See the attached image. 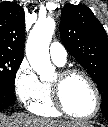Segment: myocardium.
Returning <instances> with one entry per match:
<instances>
[{"label": "myocardium", "mask_w": 108, "mask_h": 127, "mask_svg": "<svg viewBox=\"0 0 108 127\" xmlns=\"http://www.w3.org/2000/svg\"><path fill=\"white\" fill-rule=\"evenodd\" d=\"M72 75H80L89 83L91 86L94 95H95V107L91 114L87 116H78L71 113L65 106L63 100V86L66 80ZM52 98L55 108L61 113L70 118L77 120H90L96 116L101 106V95L98 89L97 84L93 78L84 70L79 68H65L58 72L57 78L55 81L51 82Z\"/></svg>", "instance_id": "1"}]
</instances>
